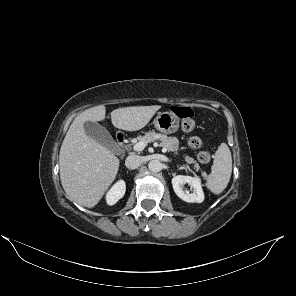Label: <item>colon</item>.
<instances>
[{
  "label": "colon",
  "instance_id": "obj_1",
  "mask_svg": "<svg viewBox=\"0 0 296 296\" xmlns=\"http://www.w3.org/2000/svg\"><path fill=\"white\" fill-rule=\"evenodd\" d=\"M172 112L182 120V129L184 131H192L196 127L194 120V112L190 107L175 105L171 108ZM188 145L192 149H199L202 147V140L198 136H192L188 140ZM201 163H208L211 160V155L207 151H201L197 156Z\"/></svg>",
  "mask_w": 296,
  "mask_h": 296
}]
</instances>
